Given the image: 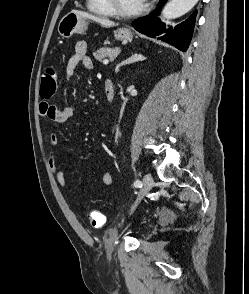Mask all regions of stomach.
Here are the masks:
<instances>
[{"instance_id": "0dacf381", "label": "stomach", "mask_w": 249, "mask_h": 294, "mask_svg": "<svg viewBox=\"0 0 249 294\" xmlns=\"http://www.w3.org/2000/svg\"><path fill=\"white\" fill-rule=\"evenodd\" d=\"M88 21L74 11L67 13L59 22L58 33L63 38H70L75 33H83L86 31ZM114 36L120 41H131L133 33L130 29L122 27L114 31Z\"/></svg>"}]
</instances>
